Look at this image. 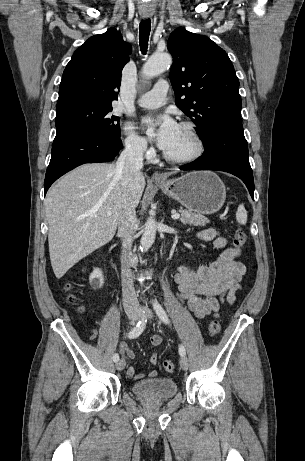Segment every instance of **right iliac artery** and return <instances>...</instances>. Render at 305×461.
<instances>
[{"label": "right iliac artery", "instance_id": "82829eb1", "mask_svg": "<svg viewBox=\"0 0 305 461\" xmlns=\"http://www.w3.org/2000/svg\"><path fill=\"white\" fill-rule=\"evenodd\" d=\"M146 316L143 315L141 320L137 323V325L128 333V338L134 339L137 338L145 329L146 326ZM119 360V355L115 353L113 355V361L117 362Z\"/></svg>", "mask_w": 305, "mask_h": 461}]
</instances>
